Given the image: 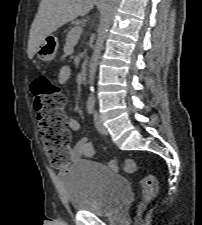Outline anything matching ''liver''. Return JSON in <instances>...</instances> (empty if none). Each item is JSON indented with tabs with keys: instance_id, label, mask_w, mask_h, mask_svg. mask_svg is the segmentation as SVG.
I'll return each instance as SVG.
<instances>
[{
	"instance_id": "liver-1",
	"label": "liver",
	"mask_w": 202,
	"mask_h": 225,
	"mask_svg": "<svg viewBox=\"0 0 202 225\" xmlns=\"http://www.w3.org/2000/svg\"><path fill=\"white\" fill-rule=\"evenodd\" d=\"M97 0H42L31 25L28 57L33 58L42 40L64 24L87 15Z\"/></svg>"
}]
</instances>
